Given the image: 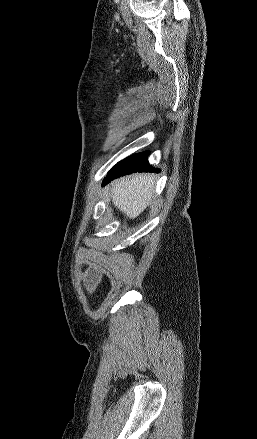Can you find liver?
I'll use <instances>...</instances> for the list:
<instances>
[{"label": "liver", "instance_id": "1", "mask_svg": "<svg viewBox=\"0 0 257 439\" xmlns=\"http://www.w3.org/2000/svg\"><path fill=\"white\" fill-rule=\"evenodd\" d=\"M153 192L154 177L150 174H135L115 181L110 196L115 207L134 219L149 206Z\"/></svg>", "mask_w": 257, "mask_h": 439}]
</instances>
